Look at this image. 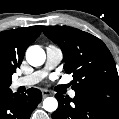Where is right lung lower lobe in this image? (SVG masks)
Returning <instances> with one entry per match:
<instances>
[{
    "instance_id": "right-lung-lower-lobe-1",
    "label": "right lung lower lobe",
    "mask_w": 119,
    "mask_h": 119,
    "mask_svg": "<svg viewBox=\"0 0 119 119\" xmlns=\"http://www.w3.org/2000/svg\"><path fill=\"white\" fill-rule=\"evenodd\" d=\"M42 100L40 90L30 88L26 94H12L9 88L0 90V119H29Z\"/></svg>"
}]
</instances>
